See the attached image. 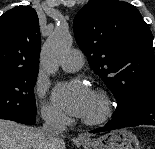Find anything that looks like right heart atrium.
Instances as JSON below:
<instances>
[{"label": "right heart atrium", "mask_w": 155, "mask_h": 149, "mask_svg": "<svg viewBox=\"0 0 155 149\" xmlns=\"http://www.w3.org/2000/svg\"><path fill=\"white\" fill-rule=\"evenodd\" d=\"M36 94L41 100V114L42 117L52 124H64L67 121V117L64 112L55 105H52L44 100L45 88L37 85Z\"/></svg>", "instance_id": "right-heart-atrium-1"}]
</instances>
